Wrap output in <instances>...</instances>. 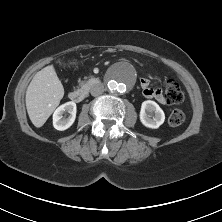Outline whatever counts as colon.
Listing matches in <instances>:
<instances>
[{"instance_id":"obj_1","label":"colon","mask_w":222,"mask_h":222,"mask_svg":"<svg viewBox=\"0 0 222 222\" xmlns=\"http://www.w3.org/2000/svg\"><path fill=\"white\" fill-rule=\"evenodd\" d=\"M165 100L170 104L179 103L183 100L184 94L180 85L173 80H169L165 84L164 90ZM185 120V114L182 110L176 109L172 111L168 118V123L171 126H179Z\"/></svg>"}]
</instances>
